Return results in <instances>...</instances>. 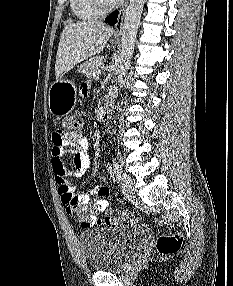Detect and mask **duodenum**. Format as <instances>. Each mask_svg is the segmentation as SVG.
Listing matches in <instances>:
<instances>
[{
    "label": "duodenum",
    "mask_w": 233,
    "mask_h": 286,
    "mask_svg": "<svg viewBox=\"0 0 233 286\" xmlns=\"http://www.w3.org/2000/svg\"><path fill=\"white\" fill-rule=\"evenodd\" d=\"M111 105L107 104L106 106H104V108L102 109L101 112V118H102V122L104 124H108L110 117H111Z\"/></svg>",
    "instance_id": "1"
}]
</instances>
